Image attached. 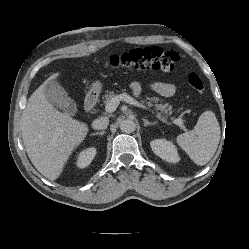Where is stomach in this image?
<instances>
[{
	"label": "stomach",
	"mask_w": 249,
	"mask_h": 249,
	"mask_svg": "<svg viewBox=\"0 0 249 249\" xmlns=\"http://www.w3.org/2000/svg\"><path fill=\"white\" fill-rule=\"evenodd\" d=\"M100 89H101V83H100V82L96 81V82H94V83L92 84V90H93V91H98V90H100Z\"/></svg>",
	"instance_id": "obj_1"
}]
</instances>
